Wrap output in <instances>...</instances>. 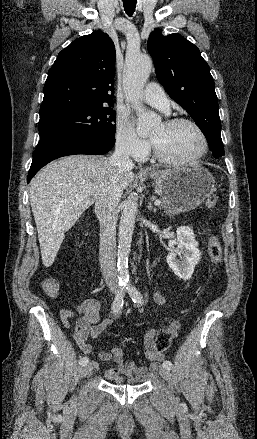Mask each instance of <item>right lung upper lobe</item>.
Masks as SVG:
<instances>
[{
    "label": "right lung upper lobe",
    "mask_w": 257,
    "mask_h": 439,
    "mask_svg": "<svg viewBox=\"0 0 257 439\" xmlns=\"http://www.w3.org/2000/svg\"><path fill=\"white\" fill-rule=\"evenodd\" d=\"M115 46L103 32L74 40L48 72L40 119L98 105H114Z\"/></svg>",
    "instance_id": "cb5924a9"
}]
</instances>
